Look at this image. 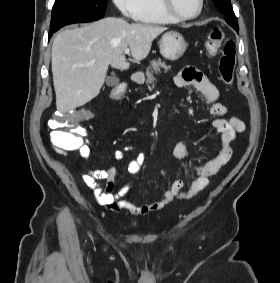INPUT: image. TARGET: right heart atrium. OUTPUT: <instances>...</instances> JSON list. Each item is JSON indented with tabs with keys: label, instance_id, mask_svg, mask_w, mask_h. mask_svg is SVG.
Listing matches in <instances>:
<instances>
[{
	"label": "right heart atrium",
	"instance_id": "1",
	"mask_svg": "<svg viewBox=\"0 0 280 283\" xmlns=\"http://www.w3.org/2000/svg\"><path fill=\"white\" fill-rule=\"evenodd\" d=\"M114 5L125 18H135L139 10V0H113Z\"/></svg>",
	"mask_w": 280,
	"mask_h": 283
}]
</instances>
